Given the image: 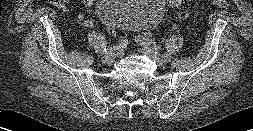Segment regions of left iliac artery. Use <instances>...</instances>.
Returning a JSON list of instances; mask_svg holds the SVG:
<instances>
[{
	"label": "left iliac artery",
	"instance_id": "left-iliac-artery-1",
	"mask_svg": "<svg viewBox=\"0 0 253 131\" xmlns=\"http://www.w3.org/2000/svg\"><path fill=\"white\" fill-rule=\"evenodd\" d=\"M141 41H143L145 44H149L155 47V49H160L161 47L151 38L149 37H142L138 36Z\"/></svg>",
	"mask_w": 253,
	"mask_h": 131
}]
</instances>
